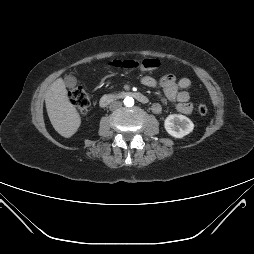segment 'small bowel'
Wrapping results in <instances>:
<instances>
[{"instance_id":"1","label":"small bowel","mask_w":254,"mask_h":254,"mask_svg":"<svg viewBox=\"0 0 254 254\" xmlns=\"http://www.w3.org/2000/svg\"><path fill=\"white\" fill-rule=\"evenodd\" d=\"M141 83L150 88H162L167 100L176 103V110L182 114H190L193 109V103L190 101L191 81L186 78L177 79L173 74H167L160 79H155L150 75H145L141 79ZM151 109L154 113H160L162 106L159 103H153Z\"/></svg>"}]
</instances>
